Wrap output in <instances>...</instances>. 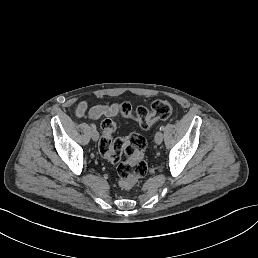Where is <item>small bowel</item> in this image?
<instances>
[{
    "mask_svg": "<svg viewBox=\"0 0 258 258\" xmlns=\"http://www.w3.org/2000/svg\"><path fill=\"white\" fill-rule=\"evenodd\" d=\"M120 113L119 104H110V105H96L91 108L85 102H82L76 111L78 117L88 115L91 119H98L102 116L114 117Z\"/></svg>",
    "mask_w": 258,
    "mask_h": 258,
    "instance_id": "1",
    "label": "small bowel"
}]
</instances>
